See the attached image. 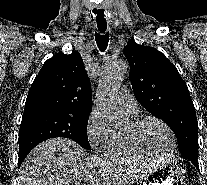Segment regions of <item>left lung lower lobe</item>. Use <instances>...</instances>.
Segmentation results:
<instances>
[{
  "mask_svg": "<svg viewBox=\"0 0 207 185\" xmlns=\"http://www.w3.org/2000/svg\"><path fill=\"white\" fill-rule=\"evenodd\" d=\"M198 168V157L189 159Z\"/></svg>",
  "mask_w": 207,
  "mask_h": 185,
  "instance_id": "0a47b994",
  "label": "left lung lower lobe"
}]
</instances>
